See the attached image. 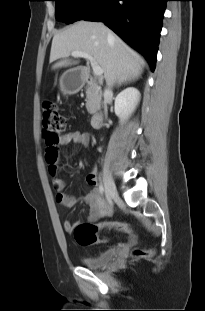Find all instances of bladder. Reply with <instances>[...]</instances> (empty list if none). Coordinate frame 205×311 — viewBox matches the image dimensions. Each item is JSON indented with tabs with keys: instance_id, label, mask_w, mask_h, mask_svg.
Here are the masks:
<instances>
[{
	"instance_id": "1",
	"label": "bladder",
	"mask_w": 205,
	"mask_h": 311,
	"mask_svg": "<svg viewBox=\"0 0 205 311\" xmlns=\"http://www.w3.org/2000/svg\"><path fill=\"white\" fill-rule=\"evenodd\" d=\"M119 253L117 247H110L97 254H83L80 258L81 263L90 269H100L112 263Z\"/></svg>"
}]
</instances>
